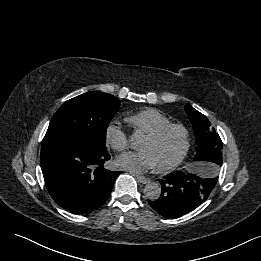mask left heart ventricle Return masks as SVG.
<instances>
[{"mask_svg":"<svg viewBox=\"0 0 261 261\" xmlns=\"http://www.w3.org/2000/svg\"><path fill=\"white\" fill-rule=\"evenodd\" d=\"M183 148V136L178 130L169 132L160 141H152L146 138L140 146L142 151L150 152L157 167L165 166L175 160Z\"/></svg>","mask_w":261,"mask_h":261,"instance_id":"b2bd125f","label":"left heart ventricle"}]
</instances>
